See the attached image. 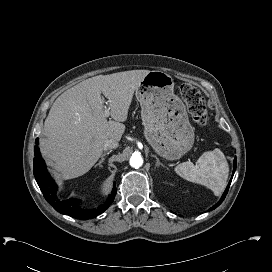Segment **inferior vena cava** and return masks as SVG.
Listing matches in <instances>:
<instances>
[{
  "label": "inferior vena cava",
  "mask_w": 272,
  "mask_h": 272,
  "mask_svg": "<svg viewBox=\"0 0 272 272\" xmlns=\"http://www.w3.org/2000/svg\"><path fill=\"white\" fill-rule=\"evenodd\" d=\"M118 145H119V144H118V142H117L116 140L107 139V140L104 142L103 148H104V150H109V149L117 148Z\"/></svg>",
  "instance_id": "602c4592"
}]
</instances>
